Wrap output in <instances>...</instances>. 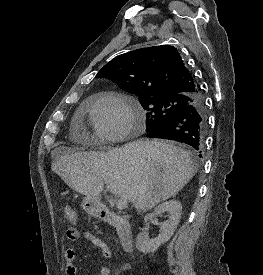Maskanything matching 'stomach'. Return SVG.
Listing matches in <instances>:
<instances>
[{
	"instance_id": "1",
	"label": "stomach",
	"mask_w": 263,
	"mask_h": 275,
	"mask_svg": "<svg viewBox=\"0 0 263 275\" xmlns=\"http://www.w3.org/2000/svg\"><path fill=\"white\" fill-rule=\"evenodd\" d=\"M81 206L86 213L94 217L99 216L102 208V204L99 200L89 197L83 199Z\"/></svg>"
}]
</instances>
